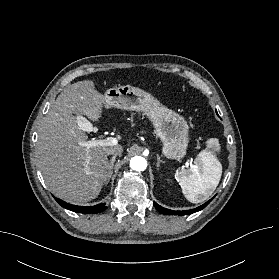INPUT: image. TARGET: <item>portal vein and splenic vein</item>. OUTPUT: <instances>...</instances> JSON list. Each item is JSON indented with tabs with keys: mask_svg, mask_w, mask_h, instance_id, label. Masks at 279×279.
I'll list each match as a JSON object with an SVG mask.
<instances>
[{
	"mask_svg": "<svg viewBox=\"0 0 279 279\" xmlns=\"http://www.w3.org/2000/svg\"><path fill=\"white\" fill-rule=\"evenodd\" d=\"M84 131H93V127L89 122H81L79 125ZM118 144L117 138L107 137L105 139L99 140H90L86 142H81L80 145L85 147L86 149H90L92 147H107V146H115Z\"/></svg>",
	"mask_w": 279,
	"mask_h": 279,
	"instance_id": "1",
	"label": "portal vein and splenic vein"
}]
</instances>
